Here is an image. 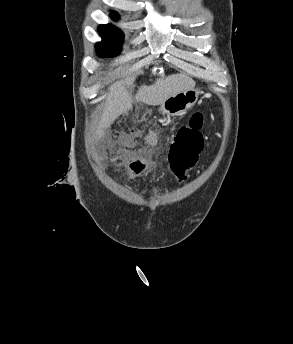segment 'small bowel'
Masks as SVG:
<instances>
[{
  "instance_id": "small-bowel-1",
  "label": "small bowel",
  "mask_w": 293,
  "mask_h": 344,
  "mask_svg": "<svg viewBox=\"0 0 293 344\" xmlns=\"http://www.w3.org/2000/svg\"><path fill=\"white\" fill-rule=\"evenodd\" d=\"M143 141L148 147L155 148L159 144L158 135L154 131H147L136 139H130L126 142L128 146H134L136 141Z\"/></svg>"
}]
</instances>
